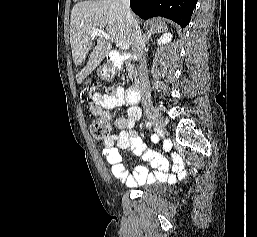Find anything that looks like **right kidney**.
Returning a JSON list of instances; mask_svg holds the SVG:
<instances>
[{"label": "right kidney", "instance_id": "ca27d5eb", "mask_svg": "<svg viewBox=\"0 0 257 237\" xmlns=\"http://www.w3.org/2000/svg\"><path fill=\"white\" fill-rule=\"evenodd\" d=\"M172 40V34L171 33H164L158 40L157 44L158 46L168 44Z\"/></svg>", "mask_w": 257, "mask_h": 237}]
</instances>
